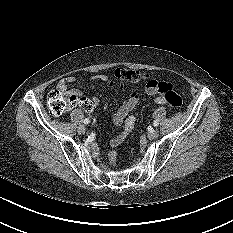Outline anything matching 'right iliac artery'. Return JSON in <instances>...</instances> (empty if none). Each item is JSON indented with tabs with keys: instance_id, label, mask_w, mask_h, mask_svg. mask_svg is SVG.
Masks as SVG:
<instances>
[{
	"instance_id": "right-iliac-artery-1",
	"label": "right iliac artery",
	"mask_w": 233,
	"mask_h": 233,
	"mask_svg": "<svg viewBox=\"0 0 233 233\" xmlns=\"http://www.w3.org/2000/svg\"><path fill=\"white\" fill-rule=\"evenodd\" d=\"M83 122H84V124H88V123H90V120L86 118V119H84Z\"/></svg>"
}]
</instances>
